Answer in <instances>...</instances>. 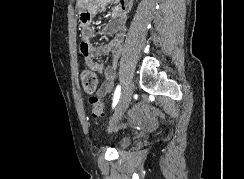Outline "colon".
I'll return each instance as SVG.
<instances>
[{
  "label": "colon",
  "mask_w": 244,
  "mask_h": 179,
  "mask_svg": "<svg viewBox=\"0 0 244 179\" xmlns=\"http://www.w3.org/2000/svg\"><path fill=\"white\" fill-rule=\"evenodd\" d=\"M80 78H81L84 91L87 94L94 93L95 90L97 89L98 82H99L97 74L94 71L90 70L89 68H84L81 71ZM88 103L93 118L98 119L104 116L105 104L102 99L98 98L97 96H94L93 98L89 97ZM148 105H149L148 102L138 103L140 110H147Z\"/></svg>",
  "instance_id": "obj_1"
}]
</instances>
